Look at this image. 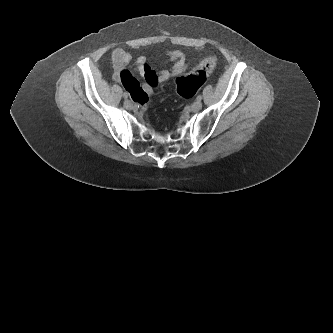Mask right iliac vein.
<instances>
[{
  "label": "right iliac vein",
  "mask_w": 333,
  "mask_h": 333,
  "mask_svg": "<svg viewBox=\"0 0 333 333\" xmlns=\"http://www.w3.org/2000/svg\"><path fill=\"white\" fill-rule=\"evenodd\" d=\"M124 106H125V108L128 109V110H132V109H133V104H132V102L129 101V100H125V101H124Z\"/></svg>",
  "instance_id": "right-iliac-vein-1"
}]
</instances>
